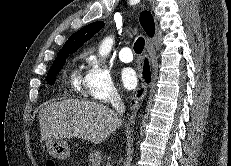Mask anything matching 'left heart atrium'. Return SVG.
Here are the masks:
<instances>
[{
  "instance_id": "1",
  "label": "left heart atrium",
  "mask_w": 231,
  "mask_h": 166,
  "mask_svg": "<svg viewBox=\"0 0 231 166\" xmlns=\"http://www.w3.org/2000/svg\"><path fill=\"white\" fill-rule=\"evenodd\" d=\"M121 82L126 89H133L137 85V75L132 68H124L121 71Z\"/></svg>"
}]
</instances>
